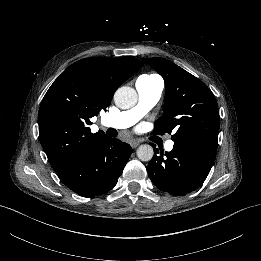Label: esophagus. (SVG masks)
<instances>
[{"mask_svg":"<svg viewBox=\"0 0 261 261\" xmlns=\"http://www.w3.org/2000/svg\"><path fill=\"white\" fill-rule=\"evenodd\" d=\"M141 141L134 139L130 142L132 148H137L140 145Z\"/></svg>","mask_w":261,"mask_h":261,"instance_id":"34e87169","label":"esophagus"}]
</instances>
